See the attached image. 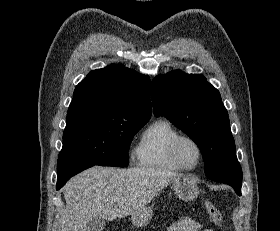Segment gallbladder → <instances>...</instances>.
<instances>
[{"label": "gallbladder", "mask_w": 280, "mask_h": 231, "mask_svg": "<svg viewBox=\"0 0 280 231\" xmlns=\"http://www.w3.org/2000/svg\"><path fill=\"white\" fill-rule=\"evenodd\" d=\"M106 225L105 219H100V217H92L90 221H88L85 231H102Z\"/></svg>", "instance_id": "gallbladder-1"}]
</instances>
